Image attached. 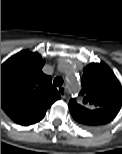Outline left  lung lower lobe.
<instances>
[{
    "label": "left lung lower lobe",
    "instance_id": "0a47b994",
    "mask_svg": "<svg viewBox=\"0 0 122 154\" xmlns=\"http://www.w3.org/2000/svg\"><path fill=\"white\" fill-rule=\"evenodd\" d=\"M119 110L116 109H102L100 117H96L93 119H87L89 121V126H84L85 128L91 129L96 128L100 125L106 124L114 119Z\"/></svg>",
    "mask_w": 122,
    "mask_h": 154
}]
</instances>
